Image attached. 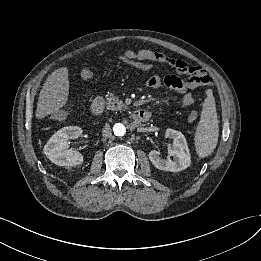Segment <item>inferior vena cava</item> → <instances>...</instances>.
<instances>
[{"mask_svg":"<svg viewBox=\"0 0 261 261\" xmlns=\"http://www.w3.org/2000/svg\"><path fill=\"white\" fill-rule=\"evenodd\" d=\"M102 136L103 137H111L112 136V130L109 124H105L104 128L102 130Z\"/></svg>","mask_w":261,"mask_h":261,"instance_id":"obj_1","label":"inferior vena cava"}]
</instances>
